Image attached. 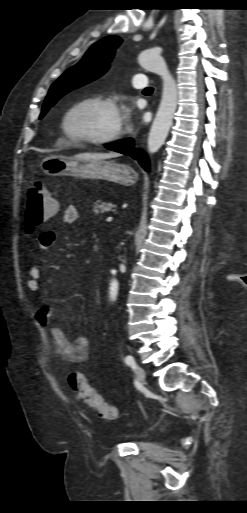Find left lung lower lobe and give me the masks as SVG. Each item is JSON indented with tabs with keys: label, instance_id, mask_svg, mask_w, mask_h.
Masks as SVG:
<instances>
[{
	"label": "left lung lower lobe",
	"instance_id": "1",
	"mask_svg": "<svg viewBox=\"0 0 247 513\" xmlns=\"http://www.w3.org/2000/svg\"><path fill=\"white\" fill-rule=\"evenodd\" d=\"M105 147L109 150L129 155L134 159H139V163L143 166V168L146 170L149 169V162L147 156L142 151H136L133 139L130 138L113 144H106Z\"/></svg>",
	"mask_w": 247,
	"mask_h": 513
}]
</instances>
